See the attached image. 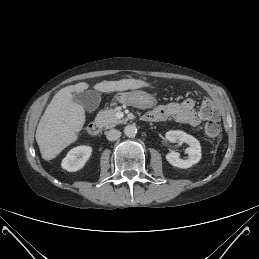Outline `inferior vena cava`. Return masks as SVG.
I'll list each match as a JSON object with an SVG mask.
<instances>
[{
	"mask_svg": "<svg viewBox=\"0 0 259 259\" xmlns=\"http://www.w3.org/2000/svg\"><path fill=\"white\" fill-rule=\"evenodd\" d=\"M121 136V132L117 129H111L106 133V138L109 141H115L118 140Z\"/></svg>",
	"mask_w": 259,
	"mask_h": 259,
	"instance_id": "1",
	"label": "inferior vena cava"
}]
</instances>
